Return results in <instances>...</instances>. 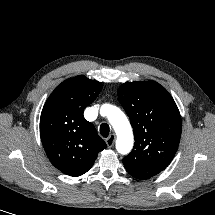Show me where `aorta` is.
<instances>
[{"mask_svg":"<svg viewBox=\"0 0 215 215\" xmlns=\"http://www.w3.org/2000/svg\"><path fill=\"white\" fill-rule=\"evenodd\" d=\"M106 113L109 122L116 132V148L121 154H127L133 147V132L126 115L116 106L104 104L101 113Z\"/></svg>","mask_w":215,"mask_h":215,"instance_id":"obj_1","label":"aorta"}]
</instances>
